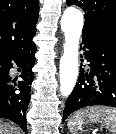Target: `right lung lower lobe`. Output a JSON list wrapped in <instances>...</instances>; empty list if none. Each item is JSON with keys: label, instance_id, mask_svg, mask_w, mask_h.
Instances as JSON below:
<instances>
[{"label": "right lung lower lobe", "instance_id": "1", "mask_svg": "<svg viewBox=\"0 0 116 134\" xmlns=\"http://www.w3.org/2000/svg\"><path fill=\"white\" fill-rule=\"evenodd\" d=\"M36 46L33 41L6 55L0 63L4 65V74L0 76V118L9 119L27 130L26 111L30 102V88L34 78L31 70L35 63ZM15 62L22 68L18 84L10 78L9 70Z\"/></svg>", "mask_w": 116, "mask_h": 134}]
</instances>
